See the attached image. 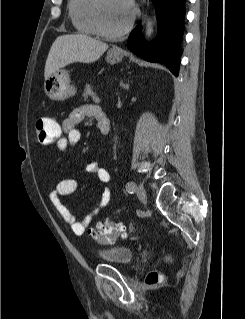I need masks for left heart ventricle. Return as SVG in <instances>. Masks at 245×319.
<instances>
[{
    "label": "left heart ventricle",
    "instance_id": "obj_1",
    "mask_svg": "<svg viewBox=\"0 0 245 319\" xmlns=\"http://www.w3.org/2000/svg\"><path fill=\"white\" fill-rule=\"evenodd\" d=\"M131 15V11L123 7L119 0H104L102 18L104 25L109 30L123 28Z\"/></svg>",
    "mask_w": 245,
    "mask_h": 319
}]
</instances>
